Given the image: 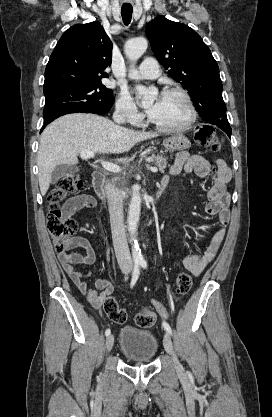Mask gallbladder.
Returning <instances> with one entry per match:
<instances>
[{"label": "gallbladder", "mask_w": 272, "mask_h": 417, "mask_svg": "<svg viewBox=\"0 0 272 417\" xmlns=\"http://www.w3.org/2000/svg\"><path fill=\"white\" fill-rule=\"evenodd\" d=\"M78 171H79V168L74 165H69V164L57 165L52 172L51 183L55 184L57 180H59L61 177L73 175Z\"/></svg>", "instance_id": "gallbladder-1"}]
</instances>
